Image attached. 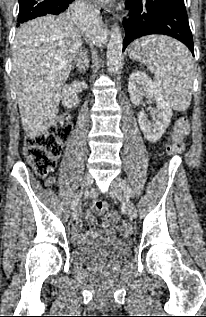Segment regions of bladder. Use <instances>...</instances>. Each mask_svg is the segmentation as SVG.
Listing matches in <instances>:
<instances>
[{"label": "bladder", "instance_id": "obj_1", "mask_svg": "<svg viewBox=\"0 0 206 317\" xmlns=\"http://www.w3.org/2000/svg\"><path fill=\"white\" fill-rule=\"evenodd\" d=\"M131 247L128 242L111 237H101L77 246L74 258L81 263H116L128 258Z\"/></svg>", "mask_w": 206, "mask_h": 317}]
</instances>
